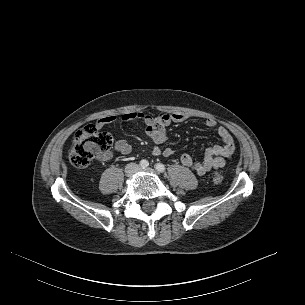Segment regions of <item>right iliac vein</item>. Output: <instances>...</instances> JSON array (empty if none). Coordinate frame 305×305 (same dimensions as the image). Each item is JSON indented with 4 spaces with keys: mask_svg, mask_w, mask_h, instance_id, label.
<instances>
[{
    "mask_svg": "<svg viewBox=\"0 0 305 305\" xmlns=\"http://www.w3.org/2000/svg\"><path fill=\"white\" fill-rule=\"evenodd\" d=\"M137 171V166L130 164L126 167L125 173L128 177H131Z\"/></svg>",
    "mask_w": 305,
    "mask_h": 305,
    "instance_id": "obj_1",
    "label": "right iliac vein"
}]
</instances>
